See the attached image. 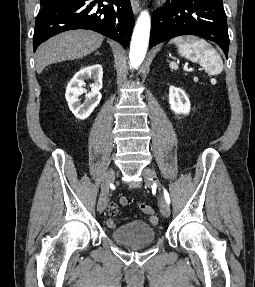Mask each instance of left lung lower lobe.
<instances>
[{
  "mask_svg": "<svg viewBox=\"0 0 255 287\" xmlns=\"http://www.w3.org/2000/svg\"><path fill=\"white\" fill-rule=\"evenodd\" d=\"M217 43L228 57L229 36L222 0H170L152 15L149 47L180 35Z\"/></svg>",
  "mask_w": 255,
  "mask_h": 287,
  "instance_id": "0a47b994",
  "label": "left lung lower lobe"
}]
</instances>
